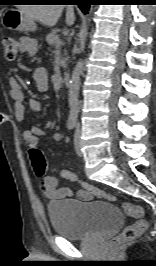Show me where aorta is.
Segmentation results:
<instances>
[{"label":"aorta","instance_id":"obj_1","mask_svg":"<svg viewBox=\"0 0 156 266\" xmlns=\"http://www.w3.org/2000/svg\"><path fill=\"white\" fill-rule=\"evenodd\" d=\"M84 70V61L80 59L71 75V79L69 82V109H70V116H77L79 113V89L81 84V75L83 74Z\"/></svg>","mask_w":156,"mask_h":266}]
</instances>
